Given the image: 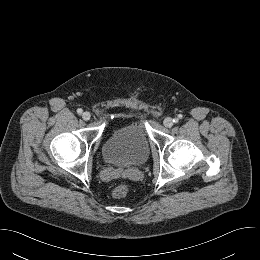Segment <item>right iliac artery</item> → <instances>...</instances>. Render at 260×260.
I'll return each mask as SVG.
<instances>
[{"label":"right iliac artery","instance_id":"obj_1","mask_svg":"<svg viewBox=\"0 0 260 260\" xmlns=\"http://www.w3.org/2000/svg\"><path fill=\"white\" fill-rule=\"evenodd\" d=\"M83 110L81 108L77 109L78 114H82Z\"/></svg>","mask_w":260,"mask_h":260}]
</instances>
